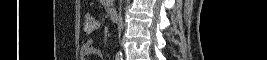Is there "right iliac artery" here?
<instances>
[{
  "mask_svg": "<svg viewBox=\"0 0 267 60\" xmlns=\"http://www.w3.org/2000/svg\"><path fill=\"white\" fill-rule=\"evenodd\" d=\"M116 60H123V56L121 53L116 55Z\"/></svg>",
  "mask_w": 267,
  "mask_h": 60,
  "instance_id": "82829eb1",
  "label": "right iliac artery"
}]
</instances>
